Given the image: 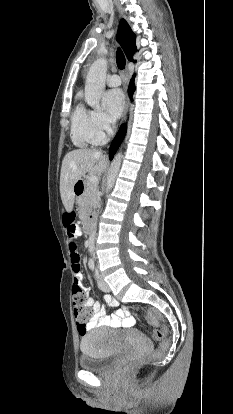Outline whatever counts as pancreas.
Returning <instances> with one entry per match:
<instances>
[{"mask_svg": "<svg viewBox=\"0 0 233 414\" xmlns=\"http://www.w3.org/2000/svg\"><path fill=\"white\" fill-rule=\"evenodd\" d=\"M79 217L84 219L89 216L91 210L98 205L97 185L91 184L89 181L85 183V190L78 200Z\"/></svg>", "mask_w": 233, "mask_h": 414, "instance_id": "cf45deb5", "label": "pancreas"}]
</instances>
